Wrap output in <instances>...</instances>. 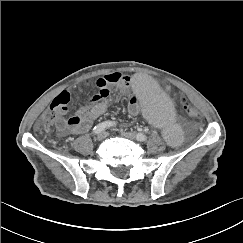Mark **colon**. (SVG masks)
Masks as SVG:
<instances>
[{
	"label": "colon",
	"instance_id": "obj_1",
	"mask_svg": "<svg viewBox=\"0 0 243 243\" xmlns=\"http://www.w3.org/2000/svg\"><path fill=\"white\" fill-rule=\"evenodd\" d=\"M70 97L69 94L66 91L60 92L52 101V104L50 108L44 113L42 121H41V127L45 131H50L52 128V125L54 121L57 118V115L59 113H62L64 111H67V106L69 103ZM181 104L183 107V110L186 112V114L192 118H199L200 113L197 110V108L190 102L189 96H182L181 97Z\"/></svg>",
	"mask_w": 243,
	"mask_h": 243
}]
</instances>
